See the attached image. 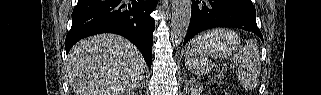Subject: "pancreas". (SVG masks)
Returning <instances> with one entry per match:
<instances>
[{
  "mask_svg": "<svg viewBox=\"0 0 321 95\" xmlns=\"http://www.w3.org/2000/svg\"><path fill=\"white\" fill-rule=\"evenodd\" d=\"M195 87H197V88H202V86H200V85H195ZM203 89V88H202Z\"/></svg>",
  "mask_w": 321,
  "mask_h": 95,
  "instance_id": "cf45deb5",
  "label": "pancreas"
}]
</instances>
